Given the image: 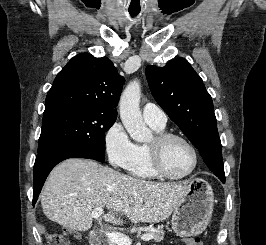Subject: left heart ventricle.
I'll return each mask as SVG.
<instances>
[{
  "label": "left heart ventricle",
  "instance_id": "obj_1",
  "mask_svg": "<svg viewBox=\"0 0 266 245\" xmlns=\"http://www.w3.org/2000/svg\"><path fill=\"white\" fill-rule=\"evenodd\" d=\"M153 139L148 143L151 144ZM194 155L190 147L181 140L172 139L162 150V164L165 171L174 177L186 175L192 168Z\"/></svg>",
  "mask_w": 266,
  "mask_h": 245
}]
</instances>
